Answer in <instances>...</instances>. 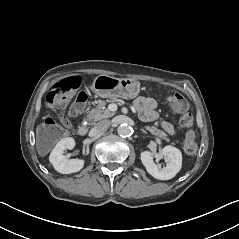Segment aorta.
Segmentation results:
<instances>
[{
  "label": "aorta",
  "mask_w": 239,
  "mask_h": 239,
  "mask_svg": "<svg viewBox=\"0 0 239 239\" xmlns=\"http://www.w3.org/2000/svg\"><path fill=\"white\" fill-rule=\"evenodd\" d=\"M117 132L120 136H128L131 132V128L127 124H121L117 128Z\"/></svg>",
  "instance_id": "762f6f07"
}]
</instances>
